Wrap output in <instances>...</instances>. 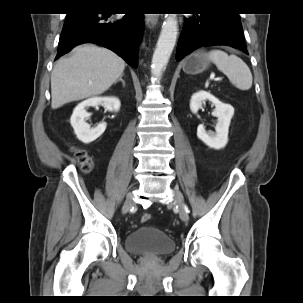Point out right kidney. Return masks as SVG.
Wrapping results in <instances>:
<instances>
[{
  "instance_id": "right-kidney-1",
  "label": "right kidney",
  "mask_w": 303,
  "mask_h": 303,
  "mask_svg": "<svg viewBox=\"0 0 303 303\" xmlns=\"http://www.w3.org/2000/svg\"><path fill=\"white\" fill-rule=\"evenodd\" d=\"M100 105H104L110 112H118L121 103L117 97H93L79 103L71 116L70 123L74 129V133L85 144L95 141L106 130L107 124L105 122L98 124L95 128H91L85 121L90 116V113L86 109Z\"/></svg>"
}]
</instances>
